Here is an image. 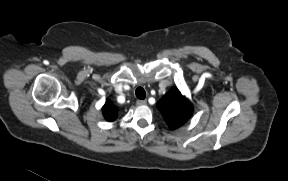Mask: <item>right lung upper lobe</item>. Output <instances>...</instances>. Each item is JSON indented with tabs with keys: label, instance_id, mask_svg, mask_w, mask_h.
<instances>
[{
	"label": "right lung upper lobe",
	"instance_id": "obj_1",
	"mask_svg": "<svg viewBox=\"0 0 288 181\" xmlns=\"http://www.w3.org/2000/svg\"><path fill=\"white\" fill-rule=\"evenodd\" d=\"M103 115L107 121H113L117 117V108L110 102L107 101L102 108Z\"/></svg>",
	"mask_w": 288,
	"mask_h": 181
}]
</instances>
